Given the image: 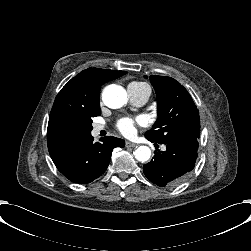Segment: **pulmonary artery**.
<instances>
[{"label": "pulmonary artery", "instance_id": "obj_1", "mask_svg": "<svg viewBox=\"0 0 251 251\" xmlns=\"http://www.w3.org/2000/svg\"><path fill=\"white\" fill-rule=\"evenodd\" d=\"M150 89H151V93H152V88L151 86L149 85ZM129 91V94H130V97H131V100L132 102L135 104V105H143L144 103H146L147 101V97H138L136 96L133 91L131 89H128ZM150 93V95H151ZM103 129V126L101 125H96L93 129V133L94 134H98L101 130Z\"/></svg>", "mask_w": 251, "mask_h": 251}]
</instances>
